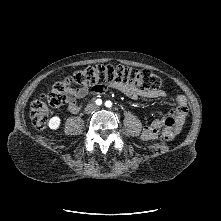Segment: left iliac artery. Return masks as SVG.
<instances>
[{
    "label": "left iliac artery",
    "mask_w": 221,
    "mask_h": 221,
    "mask_svg": "<svg viewBox=\"0 0 221 221\" xmlns=\"http://www.w3.org/2000/svg\"><path fill=\"white\" fill-rule=\"evenodd\" d=\"M105 105H106V107H111L112 103H111V101H106Z\"/></svg>",
    "instance_id": "left-iliac-artery-1"
}]
</instances>
